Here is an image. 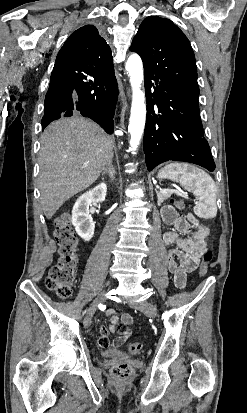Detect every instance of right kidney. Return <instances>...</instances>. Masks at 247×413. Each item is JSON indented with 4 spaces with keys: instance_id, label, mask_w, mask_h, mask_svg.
<instances>
[{
    "instance_id": "obj_1",
    "label": "right kidney",
    "mask_w": 247,
    "mask_h": 413,
    "mask_svg": "<svg viewBox=\"0 0 247 413\" xmlns=\"http://www.w3.org/2000/svg\"><path fill=\"white\" fill-rule=\"evenodd\" d=\"M107 194V184L100 182L91 190H87L77 198L72 211V225L81 239L90 241L94 235V221L89 215V204L91 202H103Z\"/></svg>"
}]
</instances>
